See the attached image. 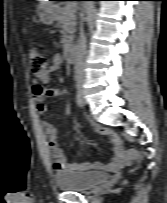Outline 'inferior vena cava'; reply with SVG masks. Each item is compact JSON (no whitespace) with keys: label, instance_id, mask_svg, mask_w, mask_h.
<instances>
[{"label":"inferior vena cava","instance_id":"602c4592","mask_svg":"<svg viewBox=\"0 0 167 203\" xmlns=\"http://www.w3.org/2000/svg\"><path fill=\"white\" fill-rule=\"evenodd\" d=\"M86 57V37L83 27L81 25L78 44L76 47V61H75V73L79 78H83L84 66Z\"/></svg>","mask_w":167,"mask_h":203}]
</instances>
